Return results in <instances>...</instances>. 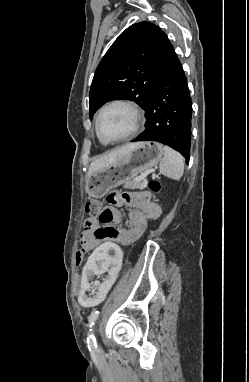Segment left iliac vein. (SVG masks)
<instances>
[{"label":"left iliac vein","instance_id":"left-iliac-vein-1","mask_svg":"<svg viewBox=\"0 0 249 382\" xmlns=\"http://www.w3.org/2000/svg\"><path fill=\"white\" fill-rule=\"evenodd\" d=\"M93 333L95 334V327H93Z\"/></svg>","mask_w":249,"mask_h":382}]
</instances>
